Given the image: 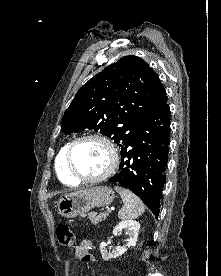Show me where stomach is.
Listing matches in <instances>:
<instances>
[{
  "label": "stomach",
  "instance_id": "stomach-1",
  "mask_svg": "<svg viewBox=\"0 0 221 276\" xmlns=\"http://www.w3.org/2000/svg\"><path fill=\"white\" fill-rule=\"evenodd\" d=\"M114 200V191L107 186H97L66 194L57 202L58 212L66 218L84 215L94 207L110 205Z\"/></svg>",
  "mask_w": 221,
  "mask_h": 276
}]
</instances>
